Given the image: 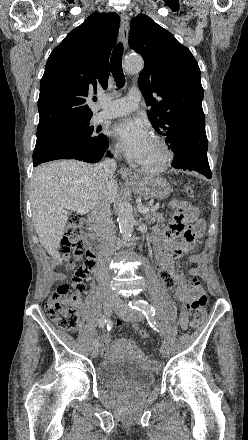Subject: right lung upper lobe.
Segmentation results:
<instances>
[{
	"label": "right lung upper lobe",
	"instance_id": "cb5924a9",
	"mask_svg": "<svg viewBox=\"0 0 248 440\" xmlns=\"http://www.w3.org/2000/svg\"><path fill=\"white\" fill-rule=\"evenodd\" d=\"M119 23L116 13L95 12L54 48L40 82L38 131L92 117L87 102L97 85L107 88Z\"/></svg>",
	"mask_w": 248,
	"mask_h": 440
}]
</instances>
